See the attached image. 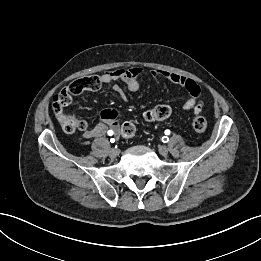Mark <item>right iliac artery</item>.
<instances>
[{"label":"right iliac artery","instance_id":"right-iliac-artery-1","mask_svg":"<svg viewBox=\"0 0 261 261\" xmlns=\"http://www.w3.org/2000/svg\"><path fill=\"white\" fill-rule=\"evenodd\" d=\"M108 135H113V131L109 130V131H108ZM110 142H111V143H114V142H115V139H114V138H111V139H110Z\"/></svg>","mask_w":261,"mask_h":261}]
</instances>
